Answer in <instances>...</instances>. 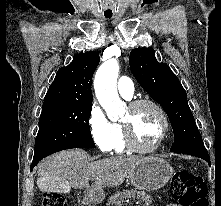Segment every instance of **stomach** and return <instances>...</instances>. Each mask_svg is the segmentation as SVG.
<instances>
[{
  "instance_id": "1",
  "label": "stomach",
  "mask_w": 221,
  "mask_h": 206,
  "mask_svg": "<svg viewBox=\"0 0 221 206\" xmlns=\"http://www.w3.org/2000/svg\"><path fill=\"white\" fill-rule=\"evenodd\" d=\"M172 175L173 169L167 161L159 157H147L133 167L128 178L136 188L154 191L162 188ZM104 197L102 188L92 187L85 193L84 200L90 204H98Z\"/></svg>"
}]
</instances>
